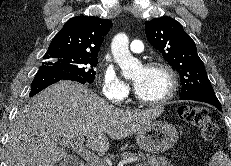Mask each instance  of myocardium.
<instances>
[{
  "label": "myocardium",
  "mask_w": 231,
  "mask_h": 166,
  "mask_svg": "<svg viewBox=\"0 0 231 166\" xmlns=\"http://www.w3.org/2000/svg\"><path fill=\"white\" fill-rule=\"evenodd\" d=\"M144 68L146 69L159 68L165 71L169 77L170 86L166 94L159 99H156V100L143 99L137 94L136 91L134 92L135 98L137 99L139 103L145 106L158 107V106L165 105L175 96L177 92L178 84H179L177 72L169 63L163 60L150 61L144 65Z\"/></svg>",
  "instance_id": "f54148a6"
}]
</instances>
